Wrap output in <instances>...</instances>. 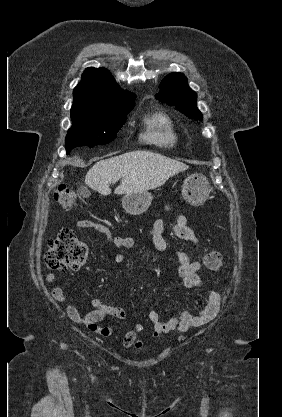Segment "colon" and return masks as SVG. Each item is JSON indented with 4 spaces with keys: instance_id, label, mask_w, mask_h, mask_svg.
<instances>
[{
    "instance_id": "1",
    "label": "colon",
    "mask_w": 282,
    "mask_h": 417,
    "mask_svg": "<svg viewBox=\"0 0 282 417\" xmlns=\"http://www.w3.org/2000/svg\"><path fill=\"white\" fill-rule=\"evenodd\" d=\"M54 195L57 206L63 209H72L75 206V195L67 187L59 186ZM48 244L49 248L44 258V265L48 270L61 272L79 268L89 255L87 245L75 237L69 229H64L58 235L51 237ZM203 261L211 271H218L223 266L222 256L217 252L207 254ZM203 305L204 303L201 302L200 306Z\"/></svg>"
}]
</instances>
